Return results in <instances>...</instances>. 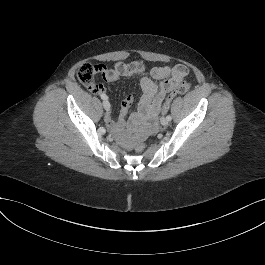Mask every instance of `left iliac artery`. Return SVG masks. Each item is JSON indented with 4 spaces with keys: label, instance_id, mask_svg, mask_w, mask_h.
I'll list each match as a JSON object with an SVG mask.
<instances>
[{
    "label": "left iliac artery",
    "instance_id": "obj_1",
    "mask_svg": "<svg viewBox=\"0 0 265 265\" xmlns=\"http://www.w3.org/2000/svg\"><path fill=\"white\" fill-rule=\"evenodd\" d=\"M166 118L168 119V121H171V119H172V117L170 115H168Z\"/></svg>",
    "mask_w": 265,
    "mask_h": 265
}]
</instances>
